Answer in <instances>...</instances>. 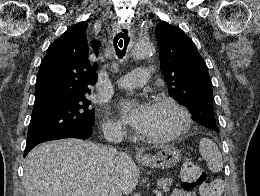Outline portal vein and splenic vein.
<instances>
[{
	"label": "portal vein and splenic vein",
	"mask_w": 260,
	"mask_h": 196,
	"mask_svg": "<svg viewBox=\"0 0 260 196\" xmlns=\"http://www.w3.org/2000/svg\"><path fill=\"white\" fill-rule=\"evenodd\" d=\"M156 196H161V190H158V193L156 194Z\"/></svg>",
	"instance_id": "18ae733b"
}]
</instances>
